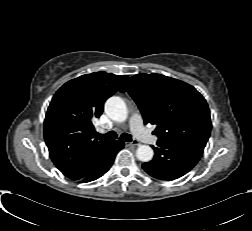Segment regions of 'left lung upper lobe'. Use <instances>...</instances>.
Wrapping results in <instances>:
<instances>
[{
	"label": "left lung upper lobe",
	"instance_id": "5c2ea615",
	"mask_svg": "<svg viewBox=\"0 0 252 231\" xmlns=\"http://www.w3.org/2000/svg\"><path fill=\"white\" fill-rule=\"evenodd\" d=\"M138 105L144 123L156 125L158 141H188L206 146L211 131L204 97L191 85L160 74H137L121 88Z\"/></svg>",
	"mask_w": 252,
	"mask_h": 231
}]
</instances>
